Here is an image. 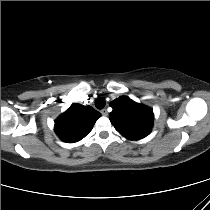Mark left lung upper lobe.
Returning a JSON list of instances; mask_svg holds the SVG:
<instances>
[{
	"instance_id": "obj_1",
	"label": "left lung upper lobe",
	"mask_w": 210,
	"mask_h": 210,
	"mask_svg": "<svg viewBox=\"0 0 210 210\" xmlns=\"http://www.w3.org/2000/svg\"><path fill=\"white\" fill-rule=\"evenodd\" d=\"M113 111L109 119L115 129L130 140L146 137L153 126V111L126 96L119 97L110 103Z\"/></svg>"
}]
</instances>
